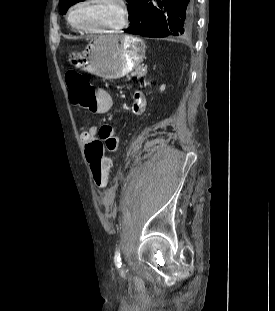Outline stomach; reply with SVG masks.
Wrapping results in <instances>:
<instances>
[{
    "mask_svg": "<svg viewBox=\"0 0 275 311\" xmlns=\"http://www.w3.org/2000/svg\"><path fill=\"white\" fill-rule=\"evenodd\" d=\"M142 39L128 35H100L86 48L71 51L68 62L105 79H117L137 68L145 56Z\"/></svg>",
    "mask_w": 275,
    "mask_h": 311,
    "instance_id": "stomach-1",
    "label": "stomach"
}]
</instances>
